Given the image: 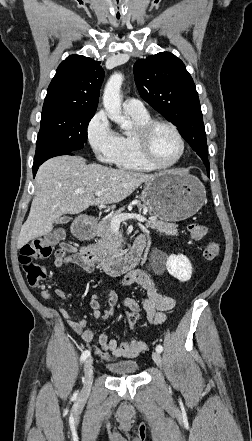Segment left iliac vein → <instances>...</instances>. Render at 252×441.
I'll return each mask as SVG.
<instances>
[{"label":"left iliac vein","instance_id":"4c4485c4","mask_svg":"<svg viewBox=\"0 0 252 441\" xmlns=\"http://www.w3.org/2000/svg\"><path fill=\"white\" fill-rule=\"evenodd\" d=\"M152 358H153L154 362H155L159 367L162 366V357H161V355H160L159 352H153V353H152Z\"/></svg>","mask_w":252,"mask_h":441}]
</instances>
